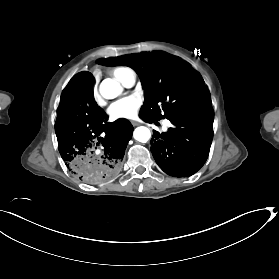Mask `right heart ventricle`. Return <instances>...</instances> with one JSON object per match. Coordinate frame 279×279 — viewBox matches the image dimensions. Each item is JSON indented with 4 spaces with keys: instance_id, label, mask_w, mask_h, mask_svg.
<instances>
[{
    "instance_id": "e07e8e85",
    "label": "right heart ventricle",
    "mask_w": 279,
    "mask_h": 279,
    "mask_svg": "<svg viewBox=\"0 0 279 279\" xmlns=\"http://www.w3.org/2000/svg\"><path fill=\"white\" fill-rule=\"evenodd\" d=\"M129 73H134L127 67H116L110 70V74L118 81L121 85L125 86V82Z\"/></svg>"
}]
</instances>
